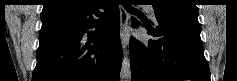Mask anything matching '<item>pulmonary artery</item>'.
<instances>
[{
    "label": "pulmonary artery",
    "mask_w": 237,
    "mask_h": 81,
    "mask_svg": "<svg viewBox=\"0 0 237 81\" xmlns=\"http://www.w3.org/2000/svg\"><path fill=\"white\" fill-rule=\"evenodd\" d=\"M147 8H148V11H149L151 17L154 19L155 17H154V13H153V8L151 6H148Z\"/></svg>",
    "instance_id": "1"
}]
</instances>
